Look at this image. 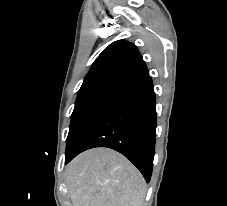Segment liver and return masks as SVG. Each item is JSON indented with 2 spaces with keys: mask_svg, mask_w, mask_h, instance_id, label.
<instances>
[{
  "mask_svg": "<svg viewBox=\"0 0 227 206\" xmlns=\"http://www.w3.org/2000/svg\"><path fill=\"white\" fill-rule=\"evenodd\" d=\"M72 206H143L146 184L120 153L96 148L78 155L66 169Z\"/></svg>",
  "mask_w": 227,
  "mask_h": 206,
  "instance_id": "liver-1",
  "label": "liver"
}]
</instances>
